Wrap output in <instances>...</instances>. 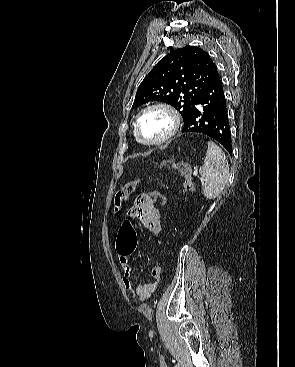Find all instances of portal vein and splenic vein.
Instances as JSON below:
<instances>
[{"label":"portal vein and splenic vein","mask_w":295,"mask_h":367,"mask_svg":"<svg viewBox=\"0 0 295 367\" xmlns=\"http://www.w3.org/2000/svg\"><path fill=\"white\" fill-rule=\"evenodd\" d=\"M199 180H200L201 182H203V181H204V178H203V177H200V178H199Z\"/></svg>","instance_id":"obj_1"}]
</instances>
